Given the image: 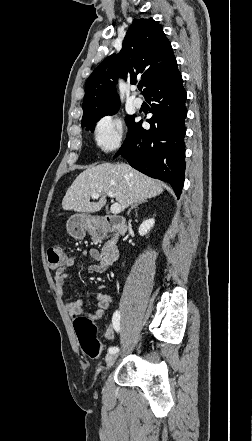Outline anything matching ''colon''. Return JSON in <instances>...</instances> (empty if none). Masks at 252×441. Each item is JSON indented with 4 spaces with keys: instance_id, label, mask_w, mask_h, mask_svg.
Returning a JSON list of instances; mask_svg holds the SVG:
<instances>
[{
    "instance_id": "5ec220e1",
    "label": "colon",
    "mask_w": 252,
    "mask_h": 441,
    "mask_svg": "<svg viewBox=\"0 0 252 441\" xmlns=\"http://www.w3.org/2000/svg\"><path fill=\"white\" fill-rule=\"evenodd\" d=\"M48 265L52 270H57L67 260L66 253L60 245H53L47 251ZM74 328L83 352L90 358L101 355L100 344L96 339V326L87 317H78L74 321Z\"/></svg>"
}]
</instances>
